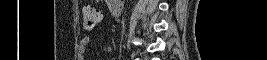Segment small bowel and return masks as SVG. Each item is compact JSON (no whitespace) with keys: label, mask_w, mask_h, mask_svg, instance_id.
<instances>
[{"label":"small bowel","mask_w":267,"mask_h":60,"mask_svg":"<svg viewBox=\"0 0 267 60\" xmlns=\"http://www.w3.org/2000/svg\"><path fill=\"white\" fill-rule=\"evenodd\" d=\"M88 41H89L88 37H83L82 40H81V44L85 46V45L88 44Z\"/></svg>","instance_id":"obj_1"}]
</instances>
